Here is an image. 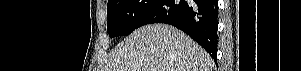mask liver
Returning <instances> with one entry per match:
<instances>
[{
	"label": "liver",
	"instance_id": "liver-1",
	"mask_svg": "<svg viewBox=\"0 0 301 71\" xmlns=\"http://www.w3.org/2000/svg\"><path fill=\"white\" fill-rule=\"evenodd\" d=\"M210 55L173 26L151 24L117 45L102 71H212Z\"/></svg>",
	"mask_w": 301,
	"mask_h": 71
}]
</instances>
